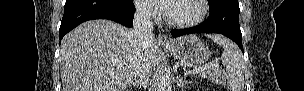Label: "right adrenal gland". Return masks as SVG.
Masks as SVG:
<instances>
[{
    "label": "right adrenal gland",
    "mask_w": 304,
    "mask_h": 91,
    "mask_svg": "<svg viewBox=\"0 0 304 91\" xmlns=\"http://www.w3.org/2000/svg\"><path fill=\"white\" fill-rule=\"evenodd\" d=\"M132 86L138 87V84L136 82H131L130 84H128V88H132Z\"/></svg>",
    "instance_id": "1"
}]
</instances>
